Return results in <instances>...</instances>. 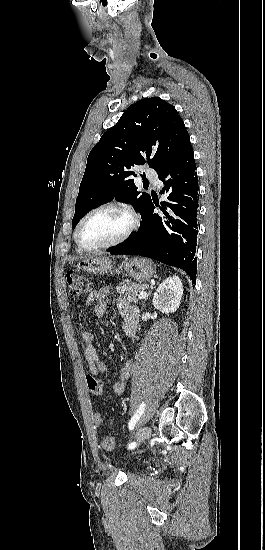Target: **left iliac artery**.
<instances>
[{"label": "left iliac artery", "instance_id": "44dca946", "mask_svg": "<svg viewBox=\"0 0 265 550\" xmlns=\"http://www.w3.org/2000/svg\"><path fill=\"white\" fill-rule=\"evenodd\" d=\"M145 410V403L142 402L137 410V412L134 414V416L132 417V419L130 420L129 422V429L132 430L136 424V422L138 421V419L141 417V415L143 414ZM136 447V443L135 442H132L128 445V448L129 449H134Z\"/></svg>", "mask_w": 265, "mask_h": 550}]
</instances>
